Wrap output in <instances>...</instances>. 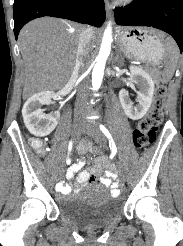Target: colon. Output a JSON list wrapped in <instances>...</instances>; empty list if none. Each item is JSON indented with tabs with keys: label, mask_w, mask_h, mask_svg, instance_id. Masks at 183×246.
I'll return each instance as SVG.
<instances>
[{
	"label": "colon",
	"mask_w": 183,
	"mask_h": 246,
	"mask_svg": "<svg viewBox=\"0 0 183 246\" xmlns=\"http://www.w3.org/2000/svg\"><path fill=\"white\" fill-rule=\"evenodd\" d=\"M166 98V87L163 84L157 86L153 104L147 115L140 120L133 133V140L138 149H142L155 140L156 131L163 120V107ZM32 147L43 153V144L38 140L32 141ZM94 154H101V149H94Z\"/></svg>",
	"instance_id": "obj_1"
}]
</instances>
